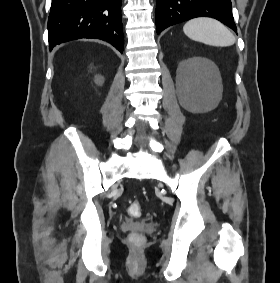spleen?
Wrapping results in <instances>:
<instances>
[{
	"mask_svg": "<svg viewBox=\"0 0 280 283\" xmlns=\"http://www.w3.org/2000/svg\"><path fill=\"white\" fill-rule=\"evenodd\" d=\"M183 31L194 41L217 47L232 46L236 41L234 35L225 25L207 17L189 20L184 25Z\"/></svg>",
	"mask_w": 280,
	"mask_h": 283,
	"instance_id": "3e777b00",
	"label": "spleen"
}]
</instances>
